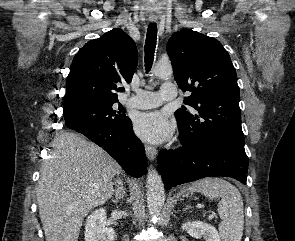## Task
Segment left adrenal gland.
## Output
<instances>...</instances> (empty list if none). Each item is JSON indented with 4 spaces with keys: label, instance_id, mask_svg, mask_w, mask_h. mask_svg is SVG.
Wrapping results in <instances>:
<instances>
[{
    "label": "left adrenal gland",
    "instance_id": "1",
    "mask_svg": "<svg viewBox=\"0 0 295 241\" xmlns=\"http://www.w3.org/2000/svg\"><path fill=\"white\" fill-rule=\"evenodd\" d=\"M191 208V206L190 205H187L185 208H184V210H187V209H190Z\"/></svg>",
    "mask_w": 295,
    "mask_h": 241
}]
</instances>
